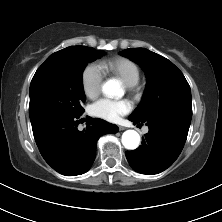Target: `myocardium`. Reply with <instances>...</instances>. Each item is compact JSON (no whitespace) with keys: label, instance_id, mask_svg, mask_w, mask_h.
I'll return each mask as SVG.
<instances>
[{"label":"myocardium","instance_id":"myocardium-1","mask_svg":"<svg viewBox=\"0 0 222 222\" xmlns=\"http://www.w3.org/2000/svg\"><path fill=\"white\" fill-rule=\"evenodd\" d=\"M129 87V86H128ZM134 92H137V89L135 88V86H131L130 87Z\"/></svg>","mask_w":222,"mask_h":222}]
</instances>
